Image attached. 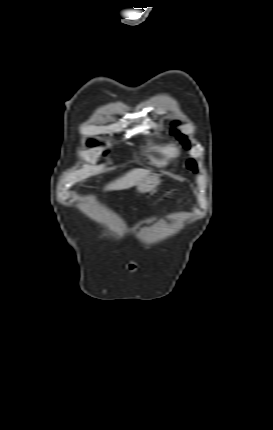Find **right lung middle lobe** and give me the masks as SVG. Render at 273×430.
Wrapping results in <instances>:
<instances>
[{
  "label": "right lung middle lobe",
  "instance_id": "dd1d6c3e",
  "mask_svg": "<svg viewBox=\"0 0 273 430\" xmlns=\"http://www.w3.org/2000/svg\"><path fill=\"white\" fill-rule=\"evenodd\" d=\"M88 145H90V146L96 145V142L93 141V140H91V141L88 142Z\"/></svg>",
  "mask_w": 273,
  "mask_h": 430
}]
</instances>
